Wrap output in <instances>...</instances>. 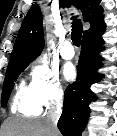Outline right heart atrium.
<instances>
[{
	"label": "right heart atrium",
	"mask_w": 117,
	"mask_h": 136,
	"mask_svg": "<svg viewBox=\"0 0 117 136\" xmlns=\"http://www.w3.org/2000/svg\"><path fill=\"white\" fill-rule=\"evenodd\" d=\"M28 89L41 108H48L61 102L64 96V87L57 70L41 57L31 65Z\"/></svg>",
	"instance_id": "1"
}]
</instances>
